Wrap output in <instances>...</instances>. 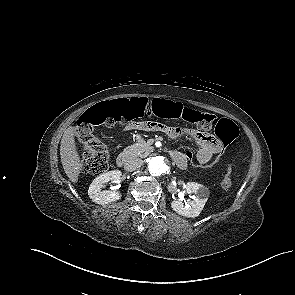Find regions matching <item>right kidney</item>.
Masks as SVG:
<instances>
[{"label":"right kidney","mask_w":295,"mask_h":295,"mask_svg":"<svg viewBox=\"0 0 295 295\" xmlns=\"http://www.w3.org/2000/svg\"><path fill=\"white\" fill-rule=\"evenodd\" d=\"M121 175V171L113 170L96 177L88 189L90 199L101 205L119 200L121 198L119 192L103 190V188L109 181L112 183H120Z\"/></svg>","instance_id":"obj_1"}]
</instances>
